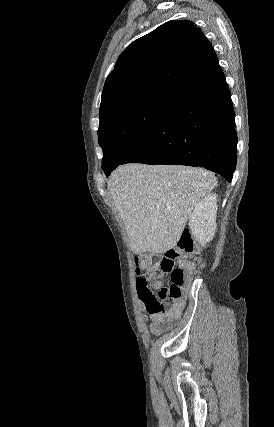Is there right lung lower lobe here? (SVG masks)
Listing matches in <instances>:
<instances>
[{
    "label": "right lung lower lobe",
    "instance_id": "1",
    "mask_svg": "<svg viewBox=\"0 0 274 427\" xmlns=\"http://www.w3.org/2000/svg\"><path fill=\"white\" fill-rule=\"evenodd\" d=\"M234 117L221 71L176 97L155 128L123 161L102 169L108 176L119 164L130 162L200 166L231 182L237 151Z\"/></svg>",
    "mask_w": 274,
    "mask_h": 427
}]
</instances>
